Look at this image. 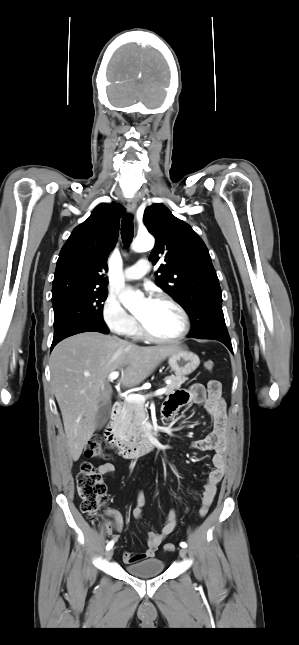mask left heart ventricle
<instances>
[{
	"mask_svg": "<svg viewBox=\"0 0 299 645\" xmlns=\"http://www.w3.org/2000/svg\"><path fill=\"white\" fill-rule=\"evenodd\" d=\"M136 315L146 328L158 337L174 336L182 328V320L179 313L175 308L165 302L154 301L151 305L143 302Z\"/></svg>",
	"mask_w": 299,
	"mask_h": 645,
	"instance_id": "b2bd125f",
	"label": "left heart ventricle"
}]
</instances>
